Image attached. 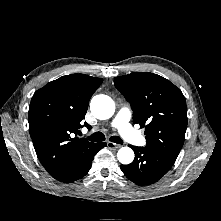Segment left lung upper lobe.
<instances>
[{"mask_svg": "<svg viewBox=\"0 0 221 221\" xmlns=\"http://www.w3.org/2000/svg\"><path fill=\"white\" fill-rule=\"evenodd\" d=\"M114 84L131 104L134 123L145 127L146 147L177 157L188 122L186 101L180 89L148 72L118 76Z\"/></svg>", "mask_w": 221, "mask_h": 221, "instance_id": "obj_1", "label": "left lung upper lobe"}]
</instances>
